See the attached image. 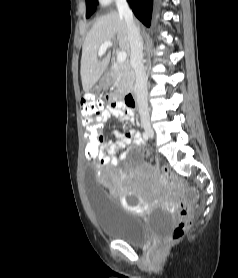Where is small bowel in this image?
Listing matches in <instances>:
<instances>
[{
  "label": "small bowel",
  "instance_id": "small-bowel-1",
  "mask_svg": "<svg viewBox=\"0 0 238 278\" xmlns=\"http://www.w3.org/2000/svg\"><path fill=\"white\" fill-rule=\"evenodd\" d=\"M111 117L118 118L121 121L134 122V111L119 97L112 96L110 99V104L102 111L98 121L102 120L104 126L107 119ZM113 135L116 138L115 142L112 140L103 139L104 146H102L101 156H98L97 159L103 165H115L118 162L116 157H112L107 153L108 150L122 149L131 143H133L135 146H141L143 143L140 134L134 129H130L125 132L114 131ZM126 155L127 154L125 152L122 153L121 158H125Z\"/></svg>",
  "mask_w": 238,
  "mask_h": 278
}]
</instances>
